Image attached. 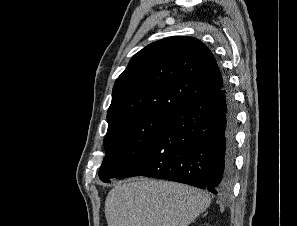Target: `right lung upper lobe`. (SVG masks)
Returning <instances> with one entry per match:
<instances>
[{"label": "right lung upper lobe", "mask_w": 297, "mask_h": 226, "mask_svg": "<svg viewBox=\"0 0 297 226\" xmlns=\"http://www.w3.org/2000/svg\"><path fill=\"white\" fill-rule=\"evenodd\" d=\"M211 51L198 39L173 36L156 41L130 60L117 78L109 125L138 114L173 112L185 102L225 86Z\"/></svg>", "instance_id": "right-lung-upper-lobe-1"}]
</instances>
